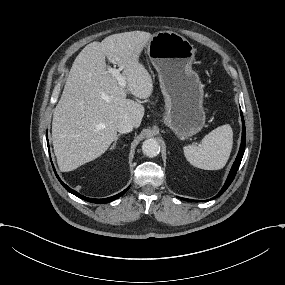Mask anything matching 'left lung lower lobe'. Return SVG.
<instances>
[{
  "label": "left lung lower lobe",
  "mask_w": 285,
  "mask_h": 285,
  "mask_svg": "<svg viewBox=\"0 0 285 285\" xmlns=\"http://www.w3.org/2000/svg\"><path fill=\"white\" fill-rule=\"evenodd\" d=\"M241 113V118H242V140H241V146H240V149H239V152H238V155L236 157V160L231 168V171L227 177V180L224 184V186L222 187V189L220 190V192L214 197V198H217L219 197L220 195H222L226 189L230 186V184L232 183L236 173H237V170L240 166V163H241V160H242V157H243V154H244V150H245V143H246V131H245V123H244V118H243V114H242V111H240ZM179 199H182V200H185V201H191V202H201L200 200H192V199H186V198H181V197H178ZM206 201V200H205Z\"/></svg>",
  "instance_id": "obj_1"
}]
</instances>
